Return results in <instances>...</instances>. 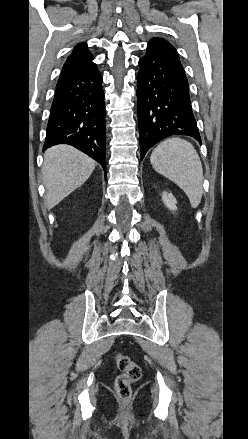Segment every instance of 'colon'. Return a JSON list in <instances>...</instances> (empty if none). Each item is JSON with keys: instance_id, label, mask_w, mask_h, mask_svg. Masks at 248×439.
I'll use <instances>...</instances> for the list:
<instances>
[{"instance_id": "1", "label": "colon", "mask_w": 248, "mask_h": 439, "mask_svg": "<svg viewBox=\"0 0 248 439\" xmlns=\"http://www.w3.org/2000/svg\"><path fill=\"white\" fill-rule=\"evenodd\" d=\"M116 367L121 374L115 380V390L121 401H128L132 394V384L141 378V367L133 362L128 356L117 354L114 357Z\"/></svg>"}]
</instances>
